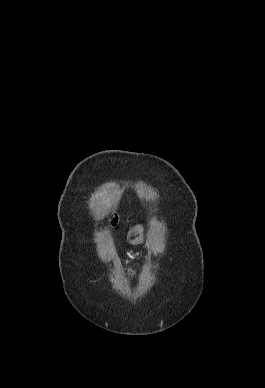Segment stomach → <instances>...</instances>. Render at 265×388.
Segmentation results:
<instances>
[{
  "mask_svg": "<svg viewBox=\"0 0 265 388\" xmlns=\"http://www.w3.org/2000/svg\"><path fill=\"white\" fill-rule=\"evenodd\" d=\"M142 232H143V226L142 225H136L133 227L127 235V241L131 245L140 244L142 239Z\"/></svg>",
  "mask_w": 265,
  "mask_h": 388,
  "instance_id": "1",
  "label": "stomach"
}]
</instances>
